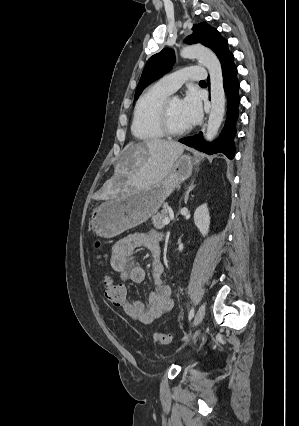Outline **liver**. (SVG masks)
Here are the masks:
<instances>
[{
    "instance_id": "1",
    "label": "liver",
    "mask_w": 299,
    "mask_h": 426,
    "mask_svg": "<svg viewBox=\"0 0 299 426\" xmlns=\"http://www.w3.org/2000/svg\"><path fill=\"white\" fill-rule=\"evenodd\" d=\"M185 146L162 139H149L126 146L116 169L115 177L127 178V185L140 190L161 181Z\"/></svg>"
}]
</instances>
